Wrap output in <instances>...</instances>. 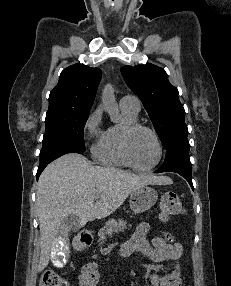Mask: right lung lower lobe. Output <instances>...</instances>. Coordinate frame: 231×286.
I'll list each match as a JSON object with an SVG mask.
<instances>
[{"instance_id": "98d812e1", "label": "right lung lower lobe", "mask_w": 231, "mask_h": 286, "mask_svg": "<svg viewBox=\"0 0 231 286\" xmlns=\"http://www.w3.org/2000/svg\"><path fill=\"white\" fill-rule=\"evenodd\" d=\"M67 153H80L82 154V151L76 149V148H63V149H59V150H55L43 157L40 158V164L38 167V171L36 174L37 179L39 178L40 174L42 173V171L44 170V168L53 160H55L56 158L67 154Z\"/></svg>"}]
</instances>
